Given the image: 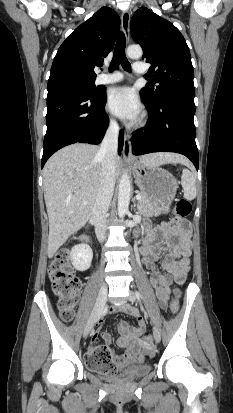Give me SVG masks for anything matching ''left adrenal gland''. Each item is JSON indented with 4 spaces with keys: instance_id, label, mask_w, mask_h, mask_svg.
Returning <instances> with one entry per match:
<instances>
[{
    "instance_id": "a2214340",
    "label": "left adrenal gland",
    "mask_w": 233,
    "mask_h": 413,
    "mask_svg": "<svg viewBox=\"0 0 233 413\" xmlns=\"http://www.w3.org/2000/svg\"><path fill=\"white\" fill-rule=\"evenodd\" d=\"M133 209H134V211H136V209H135V207H136V200H135V198L133 199Z\"/></svg>"
}]
</instances>
